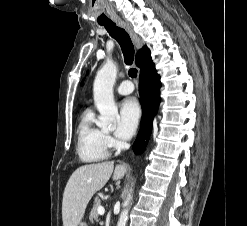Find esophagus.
<instances>
[{"instance_id": "1", "label": "esophagus", "mask_w": 247, "mask_h": 226, "mask_svg": "<svg viewBox=\"0 0 247 226\" xmlns=\"http://www.w3.org/2000/svg\"><path fill=\"white\" fill-rule=\"evenodd\" d=\"M117 23H118L119 26H121L122 28H124L127 31V33L130 35L135 47L137 49L141 48V42L139 40V37L133 31L131 26L128 23H126L125 21L120 20V19L117 21Z\"/></svg>"}]
</instances>
